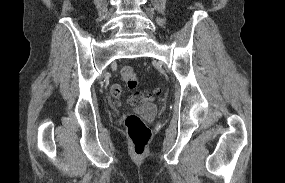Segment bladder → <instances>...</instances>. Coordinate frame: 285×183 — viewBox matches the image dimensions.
Here are the masks:
<instances>
[{"instance_id":"1","label":"bladder","mask_w":285,"mask_h":183,"mask_svg":"<svg viewBox=\"0 0 285 183\" xmlns=\"http://www.w3.org/2000/svg\"><path fill=\"white\" fill-rule=\"evenodd\" d=\"M137 114L146 117L148 119H152L156 117L159 113V109L157 106L152 104H144L137 108Z\"/></svg>"}]
</instances>
